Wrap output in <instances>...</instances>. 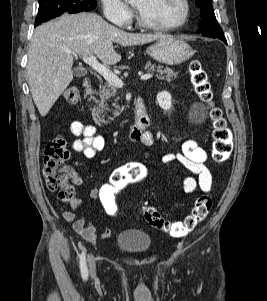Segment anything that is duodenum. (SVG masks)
Instances as JSON below:
<instances>
[{"label": "duodenum", "instance_id": "1", "mask_svg": "<svg viewBox=\"0 0 267 301\" xmlns=\"http://www.w3.org/2000/svg\"><path fill=\"white\" fill-rule=\"evenodd\" d=\"M83 87L87 94L93 92L92 83L89 80H85ZM136 121L133 127H131L127 133L126 138L131 142L140 141L142 134L148 130L150 126V117L146 111L143 98L139 97L135 103Z\"/></svg>", "mask_w": 267, "mask_h": 301}]
</instances>
